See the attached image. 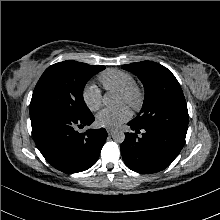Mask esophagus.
<instances>
[{
  "label": "esophagus",
  "mask_w": 220,
  "mask_h": 220,
  "mask_svg": "<svg viewBox=\"0 0 220 220\" xmlns=\"http://www.w3.org/2000/svg\"><path fill=\"white\" fill-rule=\"evenodd\" d=\"M114 132H115V130H113V129H107L108 135H112Z\"/></svg>",
  "instance_id": "34e87169"
}]
</instances>
